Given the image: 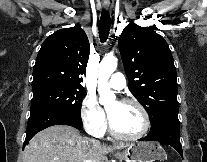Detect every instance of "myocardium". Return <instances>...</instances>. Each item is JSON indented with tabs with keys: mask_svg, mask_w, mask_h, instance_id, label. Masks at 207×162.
<instances>
[{
	"mask_svg": "<svg viewBox=\"0 0 207 162\" xmlns=\"http://www.w3.org/2000/svg\"><path fill=\"white\" fill-rule=\"evenodd\" d=\"M120 104H132L135 105L142 113L143 115V128L141 129L140 132L133 134V135H125V134H121L120 132H118L114 125L112 124L110 118H109V129L111 134L118 138V139H122V140H136L139 139L141 137H143L149 130L150 125H151V121H150V116L149 113L147 111V109L144 107V105L138 101L135 98H123L121 100L118 101Z\"/></svg>",
	"mask_w": 207,
	"mask_h": 162,
	"instance_id": "obj_1",
	"label": "myocardium"
}]
</instances>
